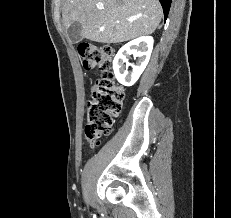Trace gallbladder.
<instances>
[{"label":"gallbladder","instance_id":"gallbladder-1","mask_svg":"<svg viewBox=\"0 0 231 218\" xmlns=\"http://www.w3.org/2000/svg\"><path fill=\"white\" fill-rule=\"evenodd\" d=\"M81 24L79 22H74L68 29V36L72 43H78L82 40L81 36Z\"/></svg>","mask_w":231,"mask_h":218}]
</instances>
